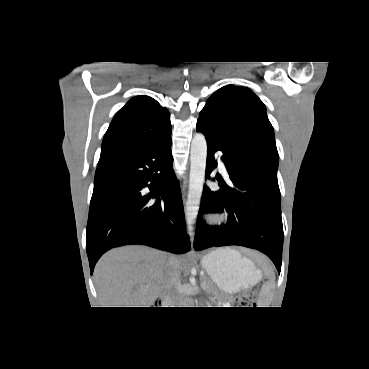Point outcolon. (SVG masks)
I'll list each match as a JSON object with an SVG mask.
<instances>
[{"label":"colon","mask_w":369,"mask_h":369,"mask_svg":"<svg viewBox=\"0 0 369 369\" xmlns=\"http://www.w3.org/2000/svg\"><path fill=\"white\" fill-rule=\"evenodd\" d=\"M258 291L253 288L236 298L237 305L240 307H251L255 304Z\"/></svg>","instance_id":"5ec220e1"}]
</instances>
